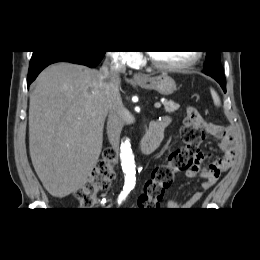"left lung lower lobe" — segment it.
<instances>
[{
    "label": "left lung lower lobe",
    "mask_w": 260,
    "mask_h": 260,
    "mask_svg": "<svg viewBox=\"0 0 260 260\" xmlns=\"http://www.w3.org/2000/svg\"><path fill=\"white\" fill-rule=\"evenodd\" d=\"M206 75L214 78L222 87L223 91L226 92V80L223 74V70H204Z\"/></svg>",
    "instance_id": "1"
}]
</instances>
